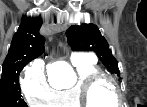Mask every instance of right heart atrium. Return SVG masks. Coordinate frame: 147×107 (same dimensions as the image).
Instances as JSON below:
<instances>
[{"label":"right heart atrium","mask_w":147,"mask_h":107,"mask_svg":"<svg viewBox=\"0 0 147 107\" xmlns=\"http://www.w3.org/2000/svg\"><path fill=\"white\" fill-rule=\"evenodd\" d=\"M21 89L31 106H45L53 102L55 90L49 85L41 62H33L21 79Z\"/></svg>","instance_id":"obj_1"}]
</instances>
